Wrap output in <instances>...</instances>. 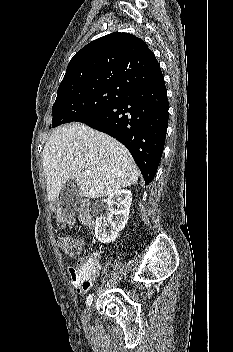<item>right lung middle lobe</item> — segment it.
<instances>
[{
	"label": "right lung middle lobe",
	"mask_w": 233,
	"mask_h": 352,
	"mask_svg": "<svg viewBox=\"0 0 233 352\" xmlns=\"http://www.w3.org/2000/svg\"><path fill=\"white\" fill-rule=\"evenodd\" d=\"M132 91L119 85H102L75 89L57 95L52 107V127L79 122L115 104ZM51 128V127H50Z\"/></svg>",
	"instance_id": "1"
}]
</instances>
